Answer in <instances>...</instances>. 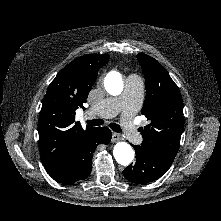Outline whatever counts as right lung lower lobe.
Wrapping results in <instances>:
<instances>
[{"label": "right lung lower lobe", "instance_id": "98d812e1", "mask_svg": "<svg viewBox=\"0 0 221 221\" xmlns=\"http://www.w3.org/2000/svg\"><path fill=\"white\" fill-rule=\"evenodd\" d=\"M112 138L106 127H97L82 135L74 145L65 169L54 178L62 184H73L86 179L92 169V154L99 144H108Z\"/></svg>", "mask_w": 221, "mask_h": 221}]
</instances>
